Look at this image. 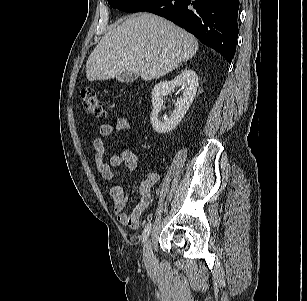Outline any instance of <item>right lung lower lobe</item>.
Returning a JSON list of instances; mask_svg holds the SVG:
<instances>
[{"label":"right lung lower lobe","mask_w":307,"mask_h":301,"mask_svg":"<svg viewBox=\"0 0 307 301\" xmlns=\"http://www.w3.org/2000/svg\"><path fill=\"white\" fill-rule=\"evenodd\" d=\"M239 0H155L141 11L165 17L231 62L238 38Z\"/></svg>","instance_id":"98d812e1"}]
</instances>
